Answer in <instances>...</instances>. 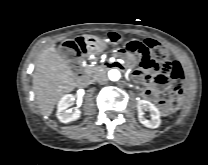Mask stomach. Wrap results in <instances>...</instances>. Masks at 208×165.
Segmentation results:
<instances>
[{"label":"stomach","mask_w":208,"mask_h":165,"mask_svg":"<svg viewBox=\"0 0 208 165\" xmlns=\"http://www.w3.org/2000/svg\"><path fill=\"white\" fill-rule=\"evenodd\" d=\"M85 43L91 51L101 52L107 47V43L94 35H87L84 37Z\"/></svg>","instance_id":"obj_1"}]
</instances>
